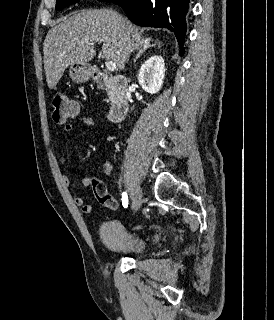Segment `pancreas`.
<instances>
[{
    "label": "pancreas",
    "mask_w": 274,
    "mask_h": 320,
    "mask_svg": "<svg viewBox=\"0 0 274 320\" xmlns=\"http://www.w3.org/2000/svg\"><path fill=\"white\" fill-rule=\"evenodd\" d=\"M115 88H110V90H108L107 92V96H109V100H111V98H113V96H115Z\"/></svg>",
    "instance_id": "obj_1"
}]
</instances>
